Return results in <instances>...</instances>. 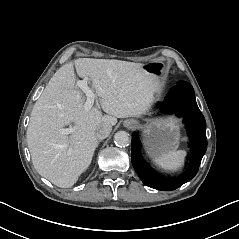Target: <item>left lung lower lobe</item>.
<instances>
[{
    "mask_svg": "<svg viewBox=\"0 0 239 239\" xmlns=\"http://www.w3.org/2000/svg\"><path fill=\"white\" fill-rule=\"evenodd\" d=\"M162 108L166 112H175L177 116H184L190 140L192 143V158L188 169L176 178H160L147 172L140 164L138 157V145L136 139H132V165L143 181L151 188L171 191L187 181L191 180L198 172L201 160L207 149L206 121L199 110L194 89L188 82L180 81L166 97Z\"/></svg>",
    "mask_w": 239,
    "mask_h": 239,
    "instance_id": "obj_1",
    "label": "left lung lower lobe"
}]
</instances>
